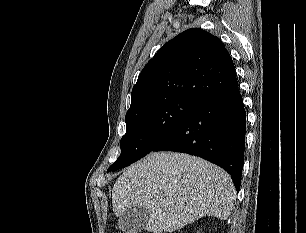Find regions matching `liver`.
<instances>
[{"label":"liver","instance_id":"liver-1","mask_svg":"<svg viewBox=\"0 0 306 233\" xmlns=\"http://www.w3.org/2000/svg\"><path fill=\"white\" fill-rule=\"evenodd\" d=\"M236 191L229 174L195 156L154 152L124 170L112 189L113 212H149V232H173L205 216L225 220Z\"/></svg>","mask_w":306,"mask_h":233}]
</instances>
